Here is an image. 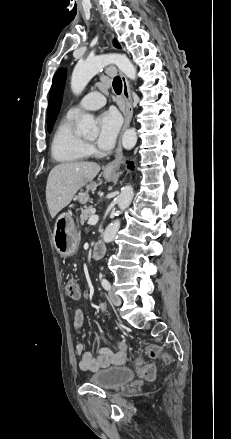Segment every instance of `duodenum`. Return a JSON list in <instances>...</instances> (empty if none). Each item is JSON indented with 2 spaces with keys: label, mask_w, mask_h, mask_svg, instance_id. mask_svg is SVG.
Segmentation results:
<instances>
[{
  "label": "duodenum",
  "mask_w": 231,
  "mask_h": 439,
  "mask_svg": "<svg viewBox=\"0 0 231 439\" xmlns=\"http://www.w3.org/2000/svg\"><path fill=\"white\" fill-rule=\"evenodd\" d=\"M105 246L102 242H97L92 248V257L94 259H100L105 254Z\"/></svg>",
  "instance_id": "410a0bca"
}]
</instances>
